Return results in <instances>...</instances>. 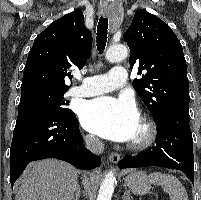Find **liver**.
Instances as JSON below:
<instances>
[{
  "label": "liver",
  "instance_id": "1",
  "mask_svg": "<svg viewBox=\"0 0 201 200\" xmlns=\"http://www.w3.org/2000/svg\"><path fill=\"white\" fill-rule=\"evenodd\" d=\"M77 171L70 164L45 159L30 164L22 176L15 200H73Z\"/></svg>",
  "mask_w": 201,
  "mask_h": 200
}]
</instances>
